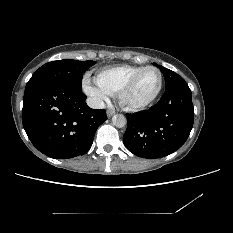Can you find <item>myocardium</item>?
I'll return each instance as SVG.
<instances>
[{
  "label": "myocardium",
  "mask_w": 233,
  "mask_h": 233,
  "mask_svg": "<svg viewBox=\"0 0 233 233\" xmlns=\"http://www.w3.org/2000/svg\"><path fill=\"white\" fill-rule=\"evenodd\" d=\"M148 70H155L158 73L159 84H158L157 90L150 98H148L140 103H130L127 99L128 94L134 88V86L137 83V81L139 80V78ZM162 86H163V76H162L161 71L155 66H146V67L142 68L140 71H138L137 73H135L125 83V85L121 88V90L118 94L119 102H120L122 107L129 109V110L136 111V110L144 109L147 106H149L150 104H152L158 98V96L161 92Z\"/></svg>",
  "instance_id": "myocardium-1"
}]
</instances>
